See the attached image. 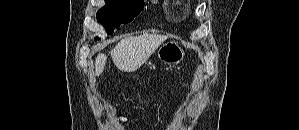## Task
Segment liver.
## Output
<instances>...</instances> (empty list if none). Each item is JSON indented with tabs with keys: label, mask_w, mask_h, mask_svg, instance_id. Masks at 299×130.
Listing matches in <instances>:
<instances>
[{
	"label": "liver",
	"mask_w": 299,
	"mask_h": 130,
	"mask_svg": "<svg viewBox=\"0 0 299 130\" xmlns=\"http://www.w3.org/2000/svg\"><path fill=\"white\" fill-rule=\"evenodd\" d=\"M167 36L143 34L121 40L111 51L115 66L123 72L138 70L156 49L167 39ZM107 56L99 53L95 62V75H100L105 67Z\"/></svg>",
	"instance_id": "obj_1"
}]
</instances>
